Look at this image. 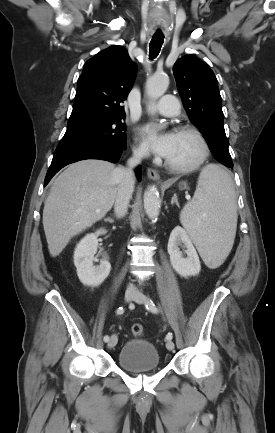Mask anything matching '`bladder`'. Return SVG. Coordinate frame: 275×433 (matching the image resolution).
<instances>
[{
    "mask_svg": "<svg viewBox=\"0 0 275 433\" xmlns=\"http://www.w3.org/2000/svg\"><path fill=\"white\" fill-rule=\"evenodd\" d=\"M117 359L121 368L133 374L145 373L160 368L158 350L146 340H127L119 350Z\"/></svg>",
    "mask_w": 275,
    "mask_h": 433,
    "instance_id": "bladder-1",
    "label": "bladder"
}]
</instances>
